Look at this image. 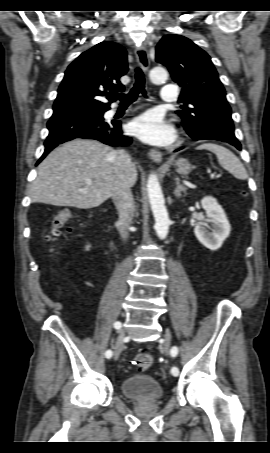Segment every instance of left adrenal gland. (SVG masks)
<instances>
[{"label": "left adrenal gland", "mask_w": 270, "mask_h": 453, "mask_svg": "<svg viewBox=\"0 0 270 453\" xmlns=\"http://www.w3.org/2000/svg\"><path fill=\"white\" fill-rule=\"evenodd\" d=\"M176 188L174 190V195L177 198L181 197V192H186L187 188L180 183V178L178 176L175 177Z\"/></svg>", "instance_id": "a2214340"}]
</instances>
